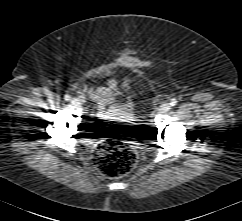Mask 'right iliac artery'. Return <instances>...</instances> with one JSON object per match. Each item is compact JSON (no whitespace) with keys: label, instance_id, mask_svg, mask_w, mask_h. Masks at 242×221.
<instances>
[{"label":"right iliac artery","instance_id":"obj_1","mask_svg":"<svg viewBox=\"0 0 242 221\" xmlns=\"http://www.w3.org/2000/svg\"><path fill=\"white\" fill-rule=\"evenodd\" d=\"M64 99H65L66 101H70V100H71V97H70L68 94H66V95L64 96Z\"/></svg>","mask_w":242,"mask_h":221}]
</instances>
